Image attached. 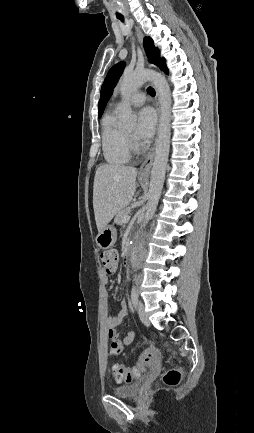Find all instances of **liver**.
I'll return each instance as SVG.
<instances>
[{
    "label": "liver",
    "instance_id": "1",
    "mask_svg": "<svg viewBox=\"0 0 254 433\" xmlns=\"http://www.w3.org/2000/svg\"><path fill=\"white\" fill-rule=\"evenodd\" d=\"M137 169L104 164L97 168L93 185V208L98 232L132 201Z\"/></svg>",
    "mask_w": 254,
    "mask_h": 433
}]
</instances>
